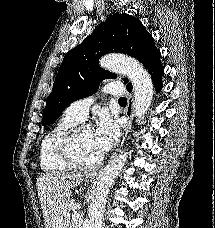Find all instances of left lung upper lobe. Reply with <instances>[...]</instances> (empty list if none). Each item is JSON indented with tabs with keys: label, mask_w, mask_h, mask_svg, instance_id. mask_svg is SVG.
Masks as SVG:
<instances>
[{
	"label": "left lung upper lobe",
	"mask_w": 215,
	"mask_h": 228,
	"mask_svg": "<svg viewBox=\"0 0 215 228\" xmlns=\"http://www.w3.org/2000/svg\"><path fill=\"white\" fill-rule=\"evenodd\" d=\"M157 51L152 36L137 18L126 13L111 15L65 55L46 101L42 125L54 123L69 104L94 94L101 80L117 77L99 67L102 55L124 53L146 68Z\"/></svg>",
	"instance_id": "obj_1"
}]
</instances>
